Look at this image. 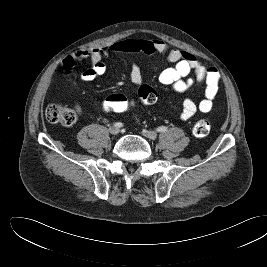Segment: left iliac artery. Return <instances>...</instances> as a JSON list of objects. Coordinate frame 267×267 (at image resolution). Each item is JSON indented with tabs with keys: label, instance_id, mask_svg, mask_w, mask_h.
<instances>
[{
	"label": "left iliac artery",
	"instance_id": "obj_1",
	"mask_svg": "<svg viewBox=\"0 0 267 267\" xmlns=\"http://www.w3.org/2000/svg\"><path fill=\"white\" fill-rule=\"evenodd\" d=\"M168 130V127L166 126H160L156 129L157 132H165Z\"/></svg>",
	"mask_w": 267,
	"mask_h": 267
}]
</instances>
